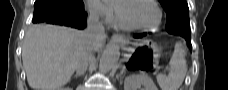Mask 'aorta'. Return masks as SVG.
I'll return each instance as SVG.
<instances>
[{
  "label": "aorta",
  "mask_w": 228,
  "mask_h": 90,
  "mask_svg": "<svg viewBox=\"0 0 228 90\" xmlns=\"http://www.w3.org/2000/svg\"><path fill=\"white\" fill-rule=\"evenodd\" d=\"M120 57L119 45L115 40H112L104 50L100 59L99 68L102 72L112 70L118 63Z\"/></svg>",
  "instance_id": "1"
}]
</instances>
